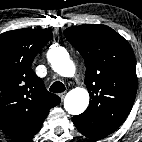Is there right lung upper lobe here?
<instances>
[{
	"mask_svg": "<svg viewBox=\"0 0 142 142\" xmlns=\"http://www.w3.org/2000/svg\"><path fill=\"white\" fill-rule=\"evenodd\" d=\"M51 38L50 31L38 29L0 35V129L15 140L38 133L49 110L61 101L31 69Z\"/></svg>",
	"mask_w": 142,
	"mask_h": 142,
	"instance_id": "obj_1",
	"label": "right lung upper lobe"
}]
</instances>
